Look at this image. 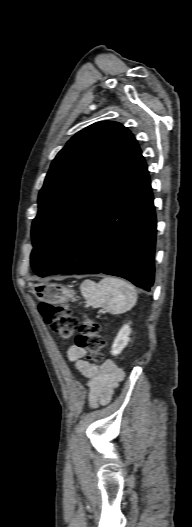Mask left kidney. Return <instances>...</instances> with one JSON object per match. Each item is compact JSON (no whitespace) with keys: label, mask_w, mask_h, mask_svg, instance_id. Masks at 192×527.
<instances>
[{"label":"left kidney","mask_w":192,"mask_h":527,"mask_svg":"<svg viewBox=\"0 0 192 527\" xmlns=\"http://www.w3.org/2000/svg\"><path fill=\"white\" fill-rule=\"evenodd\" d=\"M130 333H131V329L128 324L124 325L120 329L112 345L111 353L113 355L120 354L122 350L126 347V345L128 344L130 340L129 338Z\"/></svg>","instance_id":"1"}]
</instances>
